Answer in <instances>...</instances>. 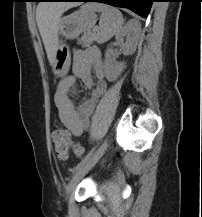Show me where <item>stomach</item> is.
<instances>
[{"label": "stomach", "instance_id": "obj_1", "mask_svg": "<svg viewBox=\"0 0 202 217\" xmlns=\"http://www.w3.org/2000/svg\"><path fill=\"white\" fill-rule=\"evenodd\" d=\"M96 21L97 15L95 12L83 6L80 10L60 18L58 34L67 39L76 38L81 33L93 28ZM70 60L69 47L62 41H59L53 64L54 74L58 77H64L69 71Z\"/></svg>", "mask_w": 202, "mask_h": 217}]
</instances>
